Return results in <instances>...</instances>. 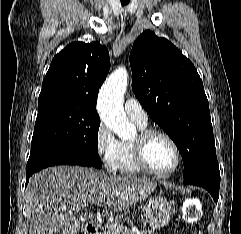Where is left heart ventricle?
<instances>
[{
	"instance_id": "1",
	"label": "left heart ventricle",
	"mask_w": 241,
	"mask_h": 234,
	"mask_svg": "<svg viewBox=\"0 0 241 234\" xmlns=\"http://www.w3.org/2000/svg\"><path fill=\"white\" fill-rule=\"evenodd\" d=\"M150 166L157 171L170 170L176 161V153L171 143L162 136H154L146 150Z\"/></svg>"
}]
</instances>
